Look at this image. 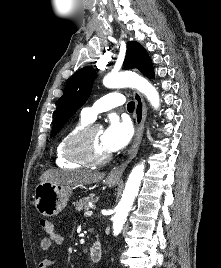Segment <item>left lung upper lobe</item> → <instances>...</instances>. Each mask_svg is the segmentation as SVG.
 Returning a JSON list of instances; mask_svg holds the SVG:
<instances>
[{"label": "left lung upper lobe", "mask_w": 221, "mask_h": 268, "mask_svg": "<svg viewBox=\"0 0 221 268\" xmlns=\"http://www.w3.org/2000/svg\"><path fill=\"white\" fill-rule=\"evenodd\" d=\"M124 67L137 68L149 78H154L152 61L147 51L137 42H128ZM96 71L88 66L74 73L66 83L60 98L50 137H54L69 118L85 103L90 95Z\"/></svg>", "instance_id": "left-lung-upper-lobe-1"}]
</instances>
